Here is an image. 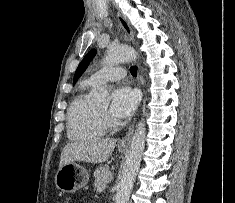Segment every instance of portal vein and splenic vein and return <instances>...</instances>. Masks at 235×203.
Returning a JSON list of instances; mask_svg holds the SVG:
<instances>
[{"instance_id": "1", "label": "portal vein and splenic vein", "mask_w": 235, "mask_h": 203, "mask_svg": "<svg viewBox=\"0 0 235 203\" xmlns=\"http://www.w3.org/2000/svg\"><path fill=\"white\" fill-rule=\"evenodd\" d=\"M103 189H104V186H102V187H98V188H97V191L100 193V192H102V191H103Z\"/></svg>"}]
</instances>
